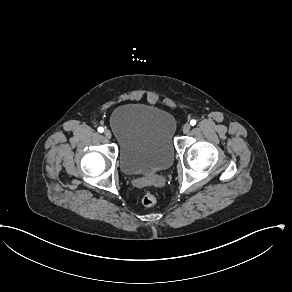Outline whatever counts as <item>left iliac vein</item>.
Returning <instances> with one entry per match:
<instances>
[{
  "label": "left iliac vein",
  "mask_w": 292,
  "mask_h": 292,
  "mask_svg": "<svg viewBox=\"0 0 292 292\" xmlns=\"http://www.w3.org/2000/svg\"><path fill=\"white\" fill-rule=\"evenodd\" d=\"M190 129H191V125L189 124V123H185L184 125H183V132L186 134V133H188L189 131H190Z\"/></svg>",
  "instance_id": "left-iliac-vein-1"
}]
</instances>
